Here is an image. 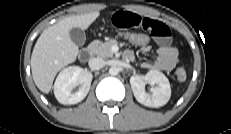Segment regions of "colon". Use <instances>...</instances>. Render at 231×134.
Segmentation results:
<instances>
[{
	"label": "colon",
	"instance_id": "5ec220e1",
	"mask_svg": "<svg viewBox=\"0 0 231 134\" xmlns=\"http://www.w3.org/2000/svg\"><path fill=\"white\" fill-rule=\"evenodd\" d=\"M115 35L124 42L141 48L149 46L151 42V36L146 33L117 29ZM175 75L179 81H184L187 77L186 71L182 67L175 70Z\"/></svg>",
	"mask_w": 231,
	"mask_h": 134
}]
</instances>
